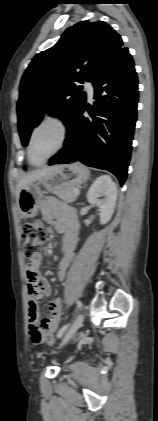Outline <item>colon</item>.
Instances as JSON below:
<instances>
[{
  "label": "colon",
  "mask_w": 158,
  "mask_h": 421,
  "mask_svg": "<svg viewBox=\"0 0 158 421\" xmlns=\"http://www.w3.org/2000/svg\"><path fill=\"white\" fill-rule=\"evenodd\" d=\"M23 253L25 258L30 262H34L41 253V247L46 241V232L40 221L25 222L22 227ZM36 342L54 343L53 335H41L39 332L33 334Z\"/></svg>",
  "instance_id": "obj_1"
}]
</instances>
